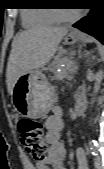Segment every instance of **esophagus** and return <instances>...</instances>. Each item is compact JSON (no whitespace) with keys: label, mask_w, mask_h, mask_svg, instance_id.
I'll return each mask as SVG.
<instances>
[{"label":"esophagus","mask_w":104,"mask_h":169,"mask_svg":"<svg viewBox=\"0 0 104 169\" xmlns=\"http://www.w3.org/2000/svg\"><path fill=\"white\" fill-rule=\"evenodd\" d=\"M71 34L72 35H78V32L77 31H72Z\"/></svg>","instance_id":"1"}]
</instances>
